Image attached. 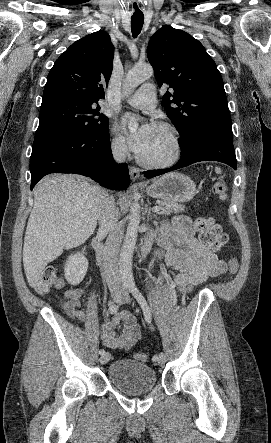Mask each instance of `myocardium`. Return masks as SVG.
Listing matches in <instances>:
<instances>
[{"mask_svg":"<svg viewBox=\"0 0 271 443\" xmlns=\"http://www.w3.org/2000/svg\"><path fill=\"white\" fill-rule=\"evenodd\" d=\"M154 126L160 128V129L166 130L169 133L172 143H173L172 153L167 158L157 159V160L147 159L142 156L141 161L144 165L151 167V168L169 167V166L175 164L176 162H178L182 156L183 145H182L180 133L174 125L167 123V122H156L154 124Z\"/></svg>","mask_w":271,"mask_h":443,"instance_id":"1","label":"myocardium"}]
</instances>
